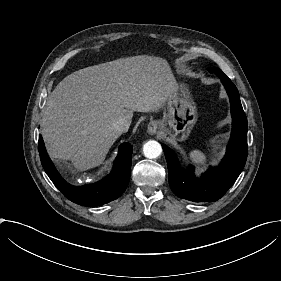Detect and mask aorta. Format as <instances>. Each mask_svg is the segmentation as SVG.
I'll use <instances>...</instances> for the list:
<instances>
[{"label": "aorta", "mask_w": 281, "mask_h": 281, "mask_svg": "<svg viewBox=\"0 0 281 281\" xmlns=\"http://www.w3.org/2000/svg\"><path fill=\"white\" fill-rule=\"evenodd\" d=\"M143 153L145 157L154 159L160 156L162 153V147L157 141L150 140L144 144Z\"/></svg>", "instance_id": "obj_1"}]
</instances>
